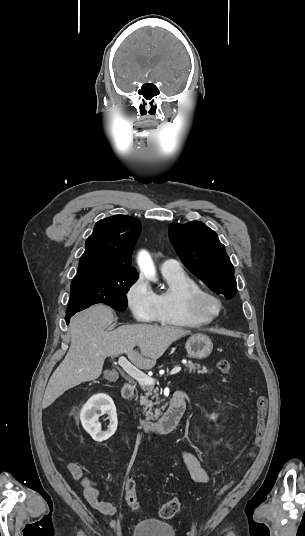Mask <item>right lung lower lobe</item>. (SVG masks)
Masks as SVG:
<instances>
[{
  "instance_id": "1",
  "label": "right lung lower lobe",
  "mask_w": 305,
  "mask_h": 536,
  "mask_svg": "<svg viewBox=\"0 0 305 536\" xmlns=\"http://www.w3.org/2000/svg\"><path fill=\"white\" fill-rule=\"evenodd\" d=\"M77 312H68L66 313V316H65V320L67 322V324H69V319Z\"/></svg>"
}]
</instances>
